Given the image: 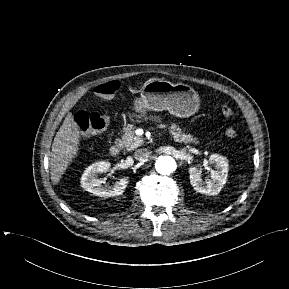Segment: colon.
Instances as JSON below:
<instances>
[{"mask_svg": "<svg viewBox=\"0 0 289 289\" xmlns=\"http://www.w3.org/2000/svg\"><path fill=\"white\" fill-rule=\"evenodd\" d=\"M120 88V83L116 80L108 81L95 87V94L102 99L112 98ZM221 113L225 118L233 116V110L228 105L221 107ZM75 123L82 134L103 131L108 125V117L98 113H87L85 111L78 112L74 117ZM229 138H236L237 131L230 127L226 130Z\"/></svg>", "mask_w": 289, "mask_h": 289, "instance_id": "obj_1", "label": "colon"}]
</instances>
